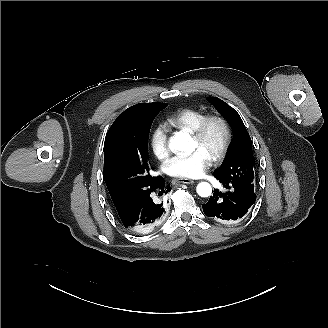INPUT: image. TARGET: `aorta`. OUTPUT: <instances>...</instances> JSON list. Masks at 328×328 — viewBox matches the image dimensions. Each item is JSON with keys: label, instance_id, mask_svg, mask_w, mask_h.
I'll use <instances>...</instances> for the list:
<instances>
[{"label": "aorta", "instance_id": "1", "mask_svg": "<svg viewBox=\"0 0 328 328\" xmlns=\"http://www.w3.org/2000/svg\"><path fill=\"white\" fill-rule=\"evenodd\" d=\"M169 149L173 153H191L195 150L194 141L191 136L184 132H178L169 141ZM196 191L201 197H209L212 194V187L207 182L197 185Z\"/></svg>", "mask_w": 328, "mask_h": 328}]
</instances>
